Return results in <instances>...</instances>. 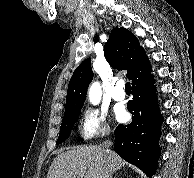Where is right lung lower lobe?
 I'll return each instance as SVG.
<instances>
[{"label":"right lung lower lobe","instance_id":"1","mask_svg":"<svg viewBox=\"0 0 194 178\" xmlns=\"http://www.w3.org/2000/svg\"><path fill=\"white\" fill-rule=\"evenodd\" d=\"M132 95L127 108L133 119L131 124L115 129L114 149L124 160L152 176L161 154L158 139L163 122L152 76L132 85Z\"/></svg>","mask_w":194,"mask_h":178}]
</instances>
